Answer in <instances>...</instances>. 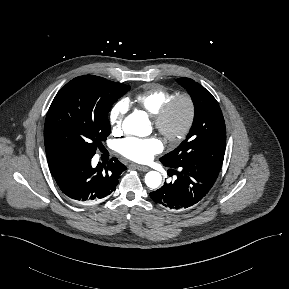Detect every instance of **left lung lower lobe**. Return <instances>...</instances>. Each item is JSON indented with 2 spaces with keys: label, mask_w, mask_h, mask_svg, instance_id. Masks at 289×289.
<instances>
[{
  "label": "left lung lower lobe",
  "mask_w": 289,
  "mask_h": 289,
  "mask_svg": "<svg viewBox=\"0 0 289 289\" xmlns=\"http://www.w3.org/2000/svg\"><path fill=\"white\" fill-rule=\"evenodd\" d=\"M220 169L209 165L170 167L168 174H177L176 180L170 183L165 182L160 189L151 192L150 197L155 203L167 209L181 210L192 207L211 190Z\"/></svg>",
  "instance_id": "obj_1"
}]
</instances>
